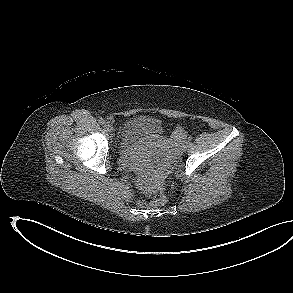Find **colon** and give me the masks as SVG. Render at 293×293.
Returning a JSON list of instances; mask_svg holds the SVG:
<instances>
[{"label":"colon","mask_w":293,"mask_h":293,"mask_svg":"<svg viewBox=\"0 0 293 293\" xmlns=\"http://www.w3.org/2000/svg\"><path fill=\"white\" fill-rule=\"evenodd\" d=\"M182 134V129L181 128H177L175 130V135L179 136ZM148 193H157L158 196L150 201V202H145V201H141L140 202V205L145 207V206H150V207H158V206H162L166 203V195L165 193L163 192L162 189H159V190H155V189H149L148 190Z\"/></svg>","instance_id":"5ec220e1"}]
</instances>
